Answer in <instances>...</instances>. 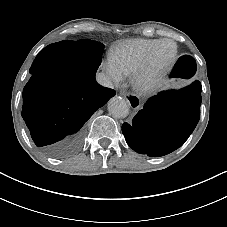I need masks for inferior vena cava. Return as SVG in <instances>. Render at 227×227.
<instances>
[{"mask_svg": "<svg viewBox=\"0 0 227 227\" xmlns=\"http://www.w3.org/2000/svg\"><path fill=\"white\" fill-rule=\"evenodd\" d=\"M96 80L100 85H102L104 87H107V88H113L114 87L110 78L104 73H98L96 75Z\"/></svg>", "mask_w": 227, "mask_h": 227, "instance_id": "inferior-vena-cava-1", "label": "inferior vena cava"}]
</instances>
